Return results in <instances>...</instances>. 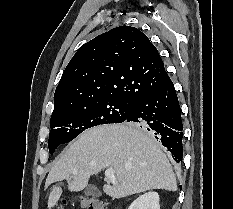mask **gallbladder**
<instances>
[{"label": "gallbladder", "instance_id": "bac80fb5", "mask_svg": "<svg viewBox=\"0 0 233 209\" xmlns=\"http://www.w3.org/2000/svg\"><path fill=\"white\" fill-rule=\"evenodd\" d=\"M85 194L86 195H94L95 196V195L100 194V192L94 186H89V187L86 188Z\"/></svg>", "mask_w": 233, "mask_h": 209}]
</instances>
